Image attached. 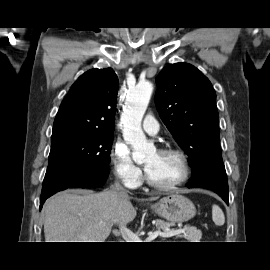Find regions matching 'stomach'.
<instances>
[{"mask_svg": "<svg viewBox=\"0 0 270 270\" xmlns=\"http://www.w3.org/2000/svg\"><path fill=\"white\" fill-rule=\"evenodd\" d=\"M151 208L161 217L172 223H183L192 219L196 208L192 201L178 193L160 199Z\"/></svg>", "mask_w": 270, "mask_h": 270, "instance_id": "obj_1", "label": "stomach"}]
</instances>
